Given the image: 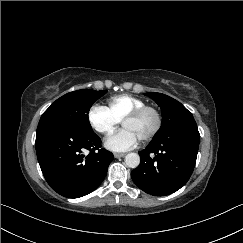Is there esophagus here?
<instances>
[{"instance_id":"34e87169","label":"esophagus","mask_w":243,"mask_h":243,"mask_svg":"<svg viewBox=\"0 0 243 243\" xmlns=\"http://www.w3.org/2000/svg\"><path fill=\"white\" fill-rule=\"evenodd\" d=\"M124 156H125L124 153H114L115 158H120V157H124Z\"/></svg>"}]
</instances>
